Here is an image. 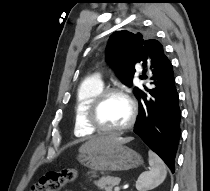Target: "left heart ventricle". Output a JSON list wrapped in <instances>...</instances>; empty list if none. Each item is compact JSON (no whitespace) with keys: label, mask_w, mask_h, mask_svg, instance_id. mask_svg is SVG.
I'll return each instance as SVG.
<instances>
[{"label":"left heart ventricle","mask_w":210,"mask_h":191,"mask_svg":"<svg viewBox=\"0 0 210 191\" xmlns=\"http://www.w3.org/2000/svg\"><path fill=\"white\" fill-rule=\"evenodd\" d=\"M98 117L103 126L107 128L121 127L129 120V103L120 95H110L102 103Z\"/></svg>","instance_id":"1"}]
</instances>
